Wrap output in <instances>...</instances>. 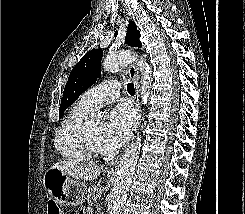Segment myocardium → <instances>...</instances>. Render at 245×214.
<instances>
[{"label":"myocardium","mask_w":245,"mask_h":214,"mask_svg":"<svg viewBox=\"0 0 245 214\" xmlns=\"http://www.w3.org/2000/svg\"><path fill=\"white\" fill-rule=\"evenodd\" d=\"M79 142L83 153L86 157H96L101 154V150L95 148L87 135L86 125L83 124L79 133Z\"/></svg>","instance_id":"obj_1"}]
</instances>
